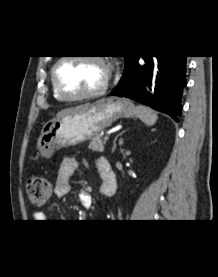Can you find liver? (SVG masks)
Instances as JSON below:
<instances>
[{
	"mask_svg": "<svg viewBox=\"0 0 218 277\" xmlns=\"http://www.w3.org/2000/svg\"><path fill=\"white\" fill-rule=\"evenodd\" d=\"M84 107H85V105H82V106H77V107H72V108L61 110L60 112L57 113L56 118H61L64 116L74 114V113L82 110Z\"/></svg>",
	"mask_w": 218,
	"mask_h": 277,
	"instance_id": "obj_1",
	"label": "liver"
}]
</instances>
